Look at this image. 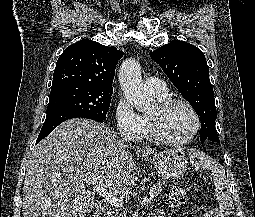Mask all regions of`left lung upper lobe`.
<instances>
[{
  "mask_svg": "<svg viewBox=\"0 0 255 217\" xmlns=\"http://www.w3.org/2000/svg\"><path fill=\"white\" fill-rule=\"evenodd\" d=\"M150 56L196 111L201 121L200 140L220 143L215 128L214 92L203 52L192 44L176 40L151 52Z\"/></svg>",
  "mask_w": 255,
  "mask_h": 217,
  "instance_id": "left-lung-upper-lobe-1",
  "label": "left lung upper lobe"
}]
</instances>
